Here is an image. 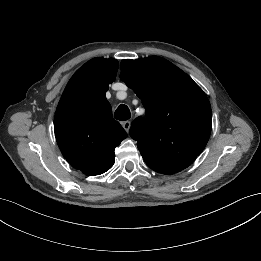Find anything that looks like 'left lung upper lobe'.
Masks as SVG:
<instances>
[{"mask_svg": "<svg viewBox=\"0 0 261 261\" xmlns=\"http://www.w3.org/2000/svg\"><path fill=\"white\" fill-rule=\"evenodd\" d=\"M120 78L146 109L147 119H135L130 129L145 163L167 175L191 165L211 132V106L202 89L159 56L122 60Z\"/></svg>", "mask_w": 261, "mask_h": 261, "instance_id": "1", "label": "left lung upper lobe"}]
</instances>
